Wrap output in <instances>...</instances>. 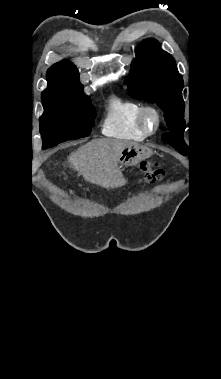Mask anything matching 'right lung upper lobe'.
<instances>
[{"mask_svg":"<svg viewBox=\"0 0 221 379\" xmlns=\"http://www.w3.org/2000/svg\"><path fill=\"white\" fill-rule=\"evenodd\" d=\"M78 71L69 61H60L47 71V89L42 92V99H77L84 95L83 87L78 82Z\"/></svg>","mask_w":221,"mask_h":379,"instance_id":"obj_1","label":"right lung upper lobe"}]
</instances>
